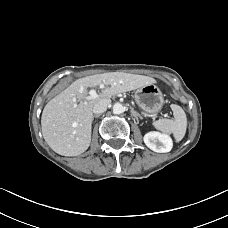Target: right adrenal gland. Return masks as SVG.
Here are the masks:
<instances>
[{
  "instance_id": "right-adrenal-gland-1",
  "label": "right adrenal gland",
  "mask_w": 228,
  "mask_h": 228,
  "mask_svg": "<svg viewBox=\"0 0 228 228\" xmlns=\"http://www.w3.org/2000/svg\"><path fill=\"white\" fill-rule=\"evenodd\" d=\"M99 116H100V114L94 115L93 118H92V121L94 120V118H98Z\"/></svg>"
}]
</instances>
